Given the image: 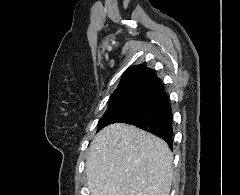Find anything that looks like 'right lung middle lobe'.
Returning <instances> with one entry per match:
<instances>
[{"label": "right lung middle lobe", "mask_w": 240, "mask_h": 195, "mask_svg": "<svg viewBox=\"0 0 240 195\" xmlns=\"http://www.w3.org/2000/svg\"><path fill=\"white\" fill-rule=\"evenodd\" d=\"M147 94H119L112 95L108 109L100 119L98 131L105 126L118 122L121 118L139 107Z\"/></svg>", "instance_id": "1"}]
</instances>
